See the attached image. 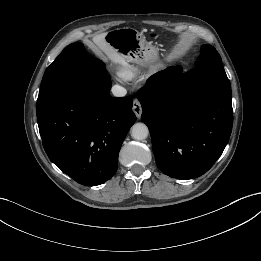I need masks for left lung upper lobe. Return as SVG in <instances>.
<instances>
[{"instance_id":"5c2ea615","label":"left lung upper lobe","mask_w":261,"mask_h":261,"mask_svg":"<svg viewBox=\"0 0 261 261\" xmlns=\"http://www.w3.org/2000/svg\"><path fill=\"white\" fill-rule=\"evenodd\" d=\"M205 66L223 68L220 55L216 49L209 44L202 46L201 54L195 63V67Z\"/></svg>"}]
</instances>
